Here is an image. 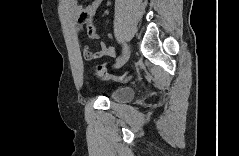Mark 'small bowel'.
<instances>
[{
	"instance_id": "small-bowel-1",
	"label": "small bowel",
	"mask_w": 239,
	"mask_h": 156,
	"mask_svg": "<svg viewBox=\"0 0 239 156\" xmlns=\"http://www.w3.org/2000/svg\"><path fill=\"white\" fill-rule=\"evenodd\" d=\"M100 3H101V0H94L89 5H87L85 8L82 9L76 2L74 1L68 2V9L70 13L72 14V17L74 19V24L77 28V32L79 35L82 32L84 24H86V31L88 36L92 39H98L96 27L91 20L95 16ZM82 12H86L89 15L88 21L83 22L80 20V14ZM113 55H114V51L106 43H101L99 50L95 53L90 51H85L86 58L91 60H97L103 57H108Z\"/></svg>"
}]
</instances>
